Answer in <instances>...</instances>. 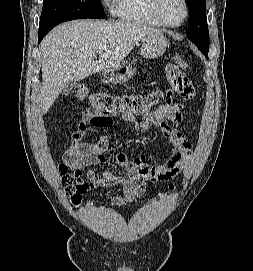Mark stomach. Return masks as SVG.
Masks as SVG:
<instances>
[{
    "label": "stomach",
    "instance_id": "1",
    "mask_svg": "<svg viewBox=\"0 0 253 271\" xmlns=\"http://www.w3.org/2000/svg\"><path fill=\"white\" fill-rule=\"evenodd\" d=\"M168 47L167 38L158 32L146 35L142 41L141 55L144 58L155 59L162 56ZM104 77L112 83H125L129 81L133 75V67L130 62L123 61L119 65L105 70Z\"/></svg>",
    "mask_w": 253,
    "mask_h": 271
}]
</instances>
